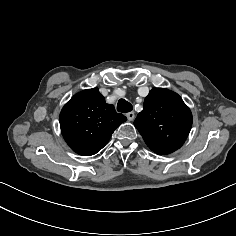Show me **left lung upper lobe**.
Masks as SVG:
<instances>
[{"mask_svg": "<svg viewBox=\"0 0 236 236\" xmlns=\"http://www.w3.org/2000/svg\"><path fill=\"white\" fill-rule=\"evenodd\" d=\"M147 146L159 155L179 149L189 135L192 114L175 92L153 88L134 121Z\"/></svg>", "mask_w": 236, "mask_h": 236, "instance_id": "1", "label": "left lung upper lobe"}]
</instances>
